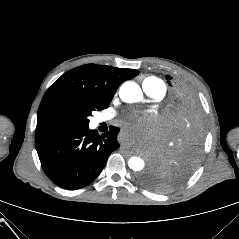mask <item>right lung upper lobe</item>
Masks as SVG:
<instances>
[{"label": "right lung upper lobe", "mask_w": 239, "mask_h": 239, "mask_svg": "<svg viewBox=\"0 0 239 239\" xmlns=\"http://www.w3.org/2000/svg\"><path fill=\"white\" fill-rule=\"evenodd\" d=\"M138 74L134 69L96 64H85L66 72L42 98L35 136L54 132L52 127L61 119L109 107L119 85Z\"/></svg>", "instance_id": "1"}]
</instances>
